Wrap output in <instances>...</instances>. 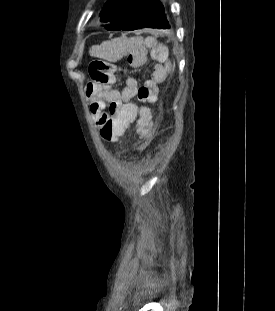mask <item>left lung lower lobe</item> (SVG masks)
Listing matches in <instances>:
<instances>
[{
	"mask_svg": "<svg viewBox=\"0 0 275 311\" xmlns=\"http://www.w3.org/2000/svg\"><path fill=\"white\" fill-rule=\"evenodd\" d=\"M144 28H170L166 15L164 13V7L158 0H146L138 8L133 19L122 30L133 31Z\"/></svg>",
	"mask_w": 275,
	"mask_h": 311,
	"instance_id": "0a47b994",
	"label": "left lung lower lobe"
}]
</instances>
